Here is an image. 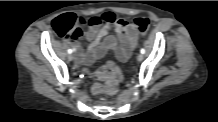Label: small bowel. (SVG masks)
I'll use <instances>...</instances> for the list:
<instances>
[{
  "instance_id": "1",
  "label": "small bowel",
  "mask_w": 218,
  "mask_h": 122,
  "mask_svg": "<svg viewBox=\"0 0 218 122\" xmlns=\"http://www.w3.org/2000/svg\"><path fill=\"white\" fill-rule=\"evenodd\" d=\"M79 19L86 26L85 37L90 42L87 51L83 52L82 45L73 40L72 45L79 63L90 65L110 50L114 51L120 61H126L130 57L138 38L134 24L118 19L116 12H105L89 19L79 16ZM110 28H113L115 35H109Z\"/></svg>"
}]
</instances>
